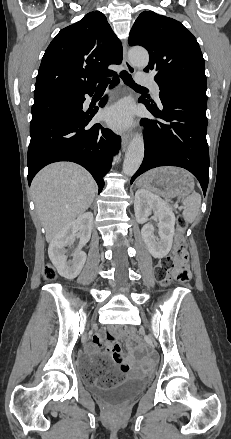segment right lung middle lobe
Instances as JSON below:
<instances>
[{"mask_svg": "<svg viewBox=\"0 0 231 439\" xmlns=\"http://www.w3.org/2000/svg\"><path fill=\"white\" fill-rule=\"evenodd\" d=\"M74 101L75 96L70 93H52L36 97L32 106V120L43 119L69 109Z\"/></svg>", "mask_w": 231, "mask_h": 439, "instance_id": "obj_1", "label": "right lung middle lobe"}]
</instances>
